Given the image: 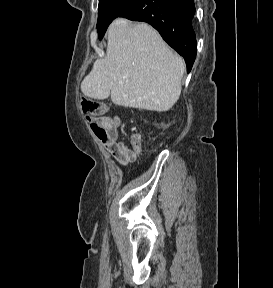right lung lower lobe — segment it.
<instances>
[{"instance_id": "obj_1", "label": "right lung lower lobe", "mask_w": 273, "mask_h": 288, "mask_svg": "<svg viewBox=\"0 0 273 288\" xmlns=\"http://www.w3.org/2000/svg\"><path fill=\"white\" fill-rule=\"evenodd\" d=\"M194 0H137L120 17L152 25L185 59L189 73L197 52Z\"/></svg>"}]
</instances>
